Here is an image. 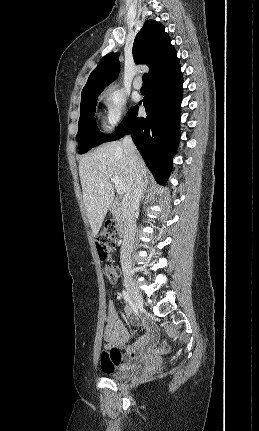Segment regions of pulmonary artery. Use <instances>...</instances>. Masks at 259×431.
<instances>
[{"instance_id": "obj_1", "label": "pulmonary artery", "mask_w": 259, "mask_h": 431, "mask_svg": "<svg viewBox=\"0 0 259 431\" xmlns=\"http://www.w3.org/2000/svg\"><path fill=\"white\" fill-rule=\"evenodd\" d=\"M133 86L136 90H140L142 88V81L140 77L135 78Z\"/></svg>"}]
</instances>
